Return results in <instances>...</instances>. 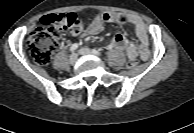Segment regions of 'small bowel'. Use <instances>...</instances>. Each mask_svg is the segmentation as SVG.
I'll return each mask as SVG.
<instances>
[{"instance_id": "c3829d8e", "label": "small bowel", "mask_w": 194, "mask_h": 133, "mask_svg": "<svg viewBox=\"0 0 194 133\" xmlns=\"http://www.w3.org/2000/svg\"><path fill=\"white\" fill-rule=\"evenodd\" d=\"M104 22L128 24L133 27L137 42L130 41L122 32L117 33L108 46V49L125 51L130 60L141 59L146 61L149 58V37L147 27L142 19L133 14L120 12H103L95 16L85 33L88 35L99 34L103 30Z\"/></svg>"}]
</instances>
